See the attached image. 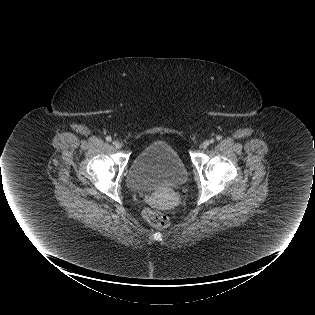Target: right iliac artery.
<instances>
[{
    "mask_svg": "<svg viewBox=\"0 0 315 315\" xmlns=\"http://www.w3.org/2000/svg\"><path fill=\"white\" fill-rule=\"evenodd\" d=\"M112 140V138L110 136L106 137V141L110 142Z\"/></svg>",
    "mask_w": 315,
    "mask_h": 315,
    "instance_id": "obj_1",
    "label": "right iliac artery"
}]
</instances>
